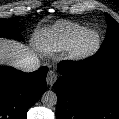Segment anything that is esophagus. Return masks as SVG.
I'll list each match as a JSON object with an SVG mask.
<instances>
[{
  "instance_id": "34e87169",
  "label": "esophagus",
  "mask_w": 119,
  "mask_h": 119,
  "mask_svg": "<svg viewBox=\"0 0 119 119\" xmlns=\"http://www.w3.org/2000/svg\"><path fill=\"white\" fill-rule=\"evenodd\" d=\"M56 80H57V74L53 70H50L46 77L47 84L49 86H53Z\"/></svg>"
}]
</instances>
